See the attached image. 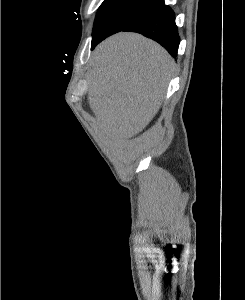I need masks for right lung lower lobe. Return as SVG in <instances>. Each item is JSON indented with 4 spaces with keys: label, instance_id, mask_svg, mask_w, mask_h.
I'll list each match as a JSON object with an SVG mask.
<instances>
[{
    "label": "right lung lower lobe",
    "instance_id": "obj_1",
    "mask_svg": "<svg viewBox=\"0 0 245 300\" xmlns=\"http://www.w3.org/2000/svg\"><path fill=\"white\" fill-rule=\"evenodd\" d=\"M121 31L141 33L161 44L173 57L176 56L179 34L175 24V15L171 8L164 3ZM105 38L92 43L91 49H94Z\"/></svg>",
    "mask_w": 245,
    "mask_h": 300
}]
</instances>
